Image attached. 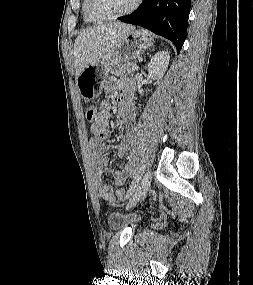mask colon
Segmentation results:
<instances>
[{"label": "colon", "mask_w": 253, "mask_h": 285, "mask_svg": "<svg viewBox=\"0 0 253 285\" xmlns=\"http://www.w3.org/2000/svg\"><path fill=\"white\" fill-rule=\"evenodd\" d=\"M95 114H96V108L92 105L87 106L86 108V118L88 121H92L95 118ZM119 194L124 197L125 196V190L124 189H120L119 190Z\"/></svg>", "instance_id": "5ec220e1"}]
</instances>
